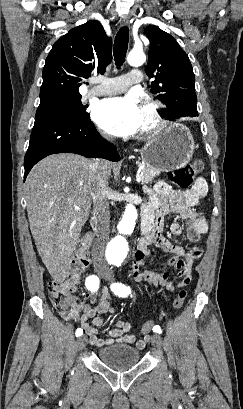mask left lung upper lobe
<instances>
[{
  "instance_id": "obj_1",
  "label": "left lung upper lobe",
  "mask_w": 243,
  "mask_h": 409,
  "mask_svg": "<svg viewBox=\"0 0 243 409\" xmlns=\"http://www.w3.org/2000/svg\"><path fill=\"white\" fill-rule=\"evenodd\" d=\"M144 34L150 41L146 74L154 78L151 93L167 106L164 117L173 120L179 113H196L195 76L188 55L177 41L155 25Z\"/></svg>"
}]
</instances>
